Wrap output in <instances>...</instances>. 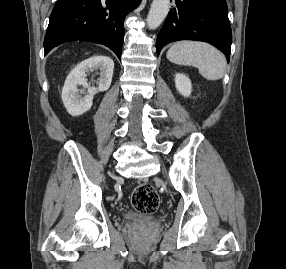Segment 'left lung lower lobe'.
Instances as JSON below:
<instances>
[{"label": "left lung lower lobe", "instance_id": "0a47b994", "mask_svg": "<svg viewBox=\"0 0 286 269\" xmlns=\"http://www.w3.org/2000/svg\"><path fill=\"white\" fill-rule=\"evenodd\" d=\"M179 40L208 42L229 62L232 32L226 0H175L157 37V55L165 44Z\"/></svg>", "mask_w": 286, "mask_h": 269}]
</instances>
